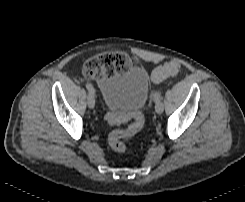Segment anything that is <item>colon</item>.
Wrapping results in <instances>:
<instances>
[{
  "mask_svg": "<svg viewBox=\"0 0 245 202\" xmlns=\"http://www.w3.org/2000/svg\"><path fill=\"white\" fill-rule=\"evenodd\" d=\"M131 60L123 52H105L90 57L84 64V73L90 78L100 76H113L117 73H124L129 69ZM181 71V64L177 60L169 61L154 71V76L161 82L170 75L178 74ZM132 123L122 129L112 131L108 136V144L116 152H125L127 149L126 140L135 135L144 125V116L141 112L130 114ZM108 123L115 124L118 119L111 115H105Z\"/></svg>",
  "mask_w": 245,
  "mask_h": 202,
  "instance_id": "obj_1",
  "label": "colon"
}]
</instances>
